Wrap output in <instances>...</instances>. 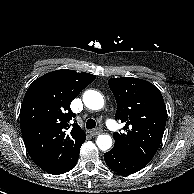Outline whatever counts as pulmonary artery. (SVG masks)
Listing matches in <instances>:
<instances>
[{
    "mask_svg": "<svg viewBox=\"0 0 194 194\" xmlns=\"http://www.w3.org/2000/svg\"><path fill=\"white\" fill-rule=\"evenodd\" d=\"M107 126L111 131H117V124L115 122H107Z\"/></svg>",
    "mask_w": 194,
    "mask_h": 194,
    "instance_id": "1",
    "label": "pulmonary artery"
}]
</instances>
